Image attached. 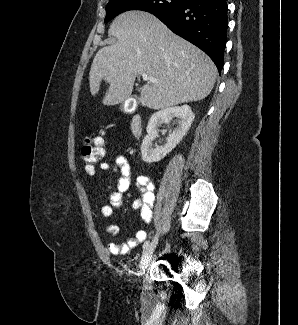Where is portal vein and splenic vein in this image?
<instances>
[{
	"instance_id": "obj_1",
	"label": "portal vein and splenic vein",
	"mask_w": 298,
	"mask_h": 325,
	"mask_svg": "<svg viewBox=\"0 0 298 325\" xmlns=\"http://www.w3.org/2000/svg\"><path fill=\"white\" fill-rule=\"evenodd\" d=\"M143 80H147V82H159L158 78H153V76H148V74H142Z\"/></svg>"
}]
</instances>
